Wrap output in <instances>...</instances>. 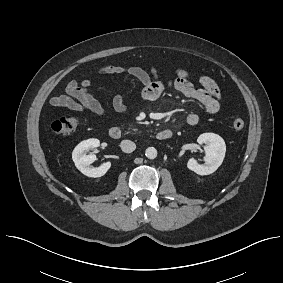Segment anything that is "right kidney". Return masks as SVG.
Returning <instances> with one entry per match:
<instances>
[{
  "mask_svg": "<svg viewBox=\"0 0 283 283\" xmlns=\"http://www.w3.org/2000/svg\"><path fill=\"white\" fill-rule=\"evenodd\" d=\"M100 145V141L98 139H88L80 142L72 152V159L75 163L77 169L88 177H101L106 174V172L111 167V162L103 163L101 166L95 168L91 167L92 164L96 160V156L94 154H87L90 149H94Z\"/></svg>",
  "mask_w": 283,
  "mask_h": 283,
  "instance_id": "obj_1",
  "label": "right kidney"
}]
</instances>
